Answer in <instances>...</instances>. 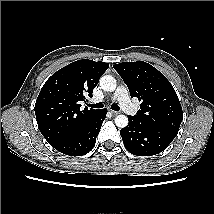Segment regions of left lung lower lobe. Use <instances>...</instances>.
Here are the masks:
<instances>
[{
    "label": "left lung lower lobe",
    "mask_w": 214,
    "mask_h": 214,
    "mask_svg": "<svg viewBox=\"0 0 214 214\" xmlns=\"http://www.w3.org/2000/svg\"><path fill=\"white\" fill-rule=\"evenodd\" d=\"M128 125L120 130L125 148L133 155L152 156L165 150L178 132L149 124L128 116Z\"/></svg>",
    "instance_id": "left-lung-lower-lobe-1"
}]
</instances>
